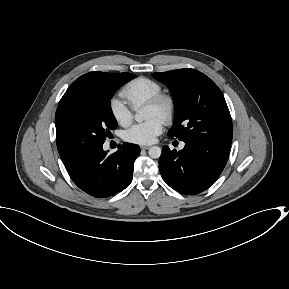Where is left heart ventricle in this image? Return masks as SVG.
Segmentation results:
<instances>
[{
  "label": "left heart ventricle",
  "instance_id": "b2bd125f",
  "mask_svg": "<svg viewBox=\"0 0 289 289\" xmlns=\"http://www.w3.org/2000/svg\"><path fill=\"white\" fill-rule=\"evenodd\" d=\"M144 115H145L146 119H149V118L154 117V116H158L159 117L156 109H154L152 107H148V106L145 107Z\"/></svg>",
  "mask_w": 289,
  "mask_h": 289
}]
</instances>
